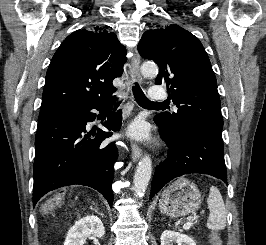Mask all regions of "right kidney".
I'll use <instances>...</instances> for the list:
<instances>
[{"label": "right kidney", "mask_w": 266, "mask_h": 245, "mask_svg": "<svg viewBox=\"0 0 266 245\" xmlns=\"http://www.w3.org/2000/svg\"><path fill=\"white\" fill-rule=\"evenodd\" d=\"M105 233L102 221L99 217L88 215L69 229L64 245H83L87 237H98L101 239Z\"/></svg>", "instance_id": "1"}]
</instances>
